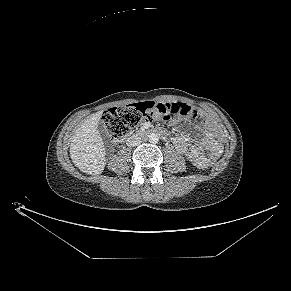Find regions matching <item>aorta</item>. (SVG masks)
Returning <instances> with one entry per match:
<instances>
[{"label":"aorta","mask_w":291,"mask_h":291,"mask_svg":"<svg viewBox=\"0 0 291 291\" xmlns=\"http://www.w3.org/2000/svg\"><path fill=\"white\" fill-rule=\"evenodd\" d=\"M158 141H159V136L156 133H151L149 135V142L150 143L155 144V143H158Z\"/></svg>","instance_id":"1"}]
</instances>
